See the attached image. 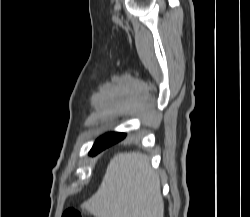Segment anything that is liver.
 Instances as JSON below:
<instances>
[{"label":"liver","mask_w":250,"mask_h":217,"mask_svg":"<svg viewBox=\"0 0 250 217\" xmlns=\"http://www.w3.org/2000/svg\"><path fill=\"white\" fill-rule=\"evenodd\" d=\"M82 208L96 217H163L160 179L140 152L114 155L97 192Z\"/></svg>","instance_id":"6515ba94"}]
</instances>
